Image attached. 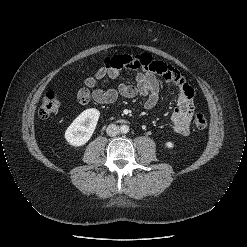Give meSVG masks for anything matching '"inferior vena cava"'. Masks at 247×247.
<instances>
[{
  "mask_svg": "<svg viewBox=\"0 0 247 247\" xmlns=\"http://www.w3.org/2000/svg\"><path fill=\"white\" fill-rule=\"evenodd\" d=\"M119 130H120L119 126H117L116 124H110V125H108L106 132H107V135L113 137L119 133Z\"/></svg>",
  "mask_w": 247,
  "mask_h": 247,
  "instance_id": "inferior-vena-cava-1",
  "label": "inferior vena cava"
}]
</instances>
